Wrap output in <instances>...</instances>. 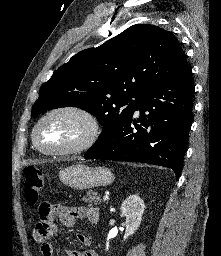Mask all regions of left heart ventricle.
Listing matches in <instances>:
<instances>
[{"label":"left heart ventricle","mask_w":221,"mask_h":256,"mask_svg":"<svg viewBox=\"0 0 221 256\" xmlns=\"http://www.w3.org/2000/svg\"><path fill=\"white\" fill-rule=\"evenodd\" d=\"M87 130V124L80 116L73 113H59L41 125L38 141L45 148H65L80 142Z\"/></svg>","instance_id":"obj_1"}]
</instances>
